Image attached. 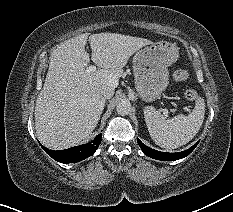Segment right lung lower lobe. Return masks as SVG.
Here are the masks:
<instances>
[{
  "mask_svg": "<svg viewBox=\"0 0 233 212\" xmlns=\"http://www.w3.org/2000/svg\"><path fill=\"white\" fill-rule=\"evenodd\" d=\"M101 137L102 134H98L94 140L87 144L59 151H52L40 145L56 161L61 163H75L93 155L101 142Z\"/></svg>",
  "mask_w": 233,
  "mask_h": 212,
  "instance_id": "98d812e1",
  "label": "right lung lower lobe"
}]
</instances>
